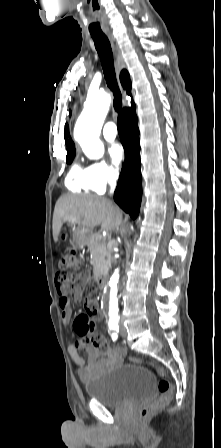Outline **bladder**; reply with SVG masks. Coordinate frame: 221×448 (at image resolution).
Returning <instances> with one entry per match:
<instances>
[{"instance_id":"1","label":"bladder","mask_w":221,"mask_h":448,"mask_svg":"<svg viewBox=\"0 0 221 448\" xmlns=\"http://www.w3.org/2000/svg\"><path fill=\"white\" fill-rule=\"evenodd\" d=\"M85 391L89 399L121 407L154 397V376L147 369L120 363L88 380Z\"/></svg>"}]
</instances>
